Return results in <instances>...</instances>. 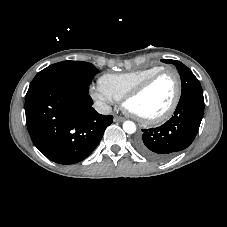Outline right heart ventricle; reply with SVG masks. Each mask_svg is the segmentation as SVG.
<instances>
[{"label":"right heart ventricle","instance_id":"e07e8e85","mask_svg":"<svg viewBox=\"0 0 227 227\" xmlns=\"http://www.w3.org/2000/svg\"><path fill=\"white\" fill-rule=\"evenodd\" d=\"M163 69L162 66H151L125 73H108L99 79V85L114 99H121L134 86L151 74Z\"/></svg>","mask_w":227,"mask_h":227}]
</instances>
